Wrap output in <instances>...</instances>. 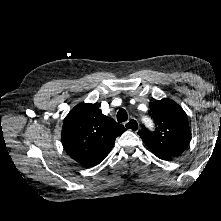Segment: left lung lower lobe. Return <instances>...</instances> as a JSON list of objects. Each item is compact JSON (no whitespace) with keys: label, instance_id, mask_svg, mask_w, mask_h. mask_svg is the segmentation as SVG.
I'll list each match as a JSON object with an SVG mask.
<instances>
[{"label":"left lung lower lobe","instance_id":"obj_1","mask_svg":"<svg viewBox=\"0 0 221 221\" xmlns=\"http://www.w3.org/2000/svg\"><path fill=\"white\" fill-rule=\"evenodd\" d=\"M185 149H180V150H177V151H174V152H171V153H158V152H154V154L162 159V160H170L171 158H174V157H177L179 156L180 154H182V152L184 151Z\"/></svg>","mask_w":221,"mask_h":221}]
</instances>
